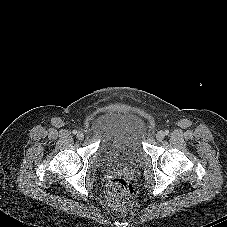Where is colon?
Instances as JSON below:
<instances>
[{"mask_svg":"<svg viewBox=\"0 0 227 227\" xmlns=\"http://www.w3.org/2000/svg\"><path fill=\"white\" fill-rule=\"evenodd\" d=\"M105 198L116 213L127 214L135 206V189L128 179L114 176L105 185Z\"/></svg>","mask_w":227,"mask_h":227,"instance_id":"1","label":"colon"}]
</instances>
